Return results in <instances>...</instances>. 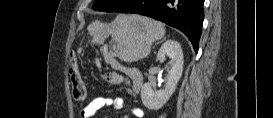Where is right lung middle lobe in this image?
I'll return each instance as SVG.
<instances>
[{
	"instance_id": "1",
	"label": "right lung middle lobe",
	"mask_w": 273,
	"mask_h": 118,
	"mask_svg": "<svg viewBox=\"0 0 273 118\" xmlns=\"http://www.w3.org/2000/svg\"><path fill=\"white\" fill-rule=\"evenodd\" d=\"M130 0H95L93 9L104 12H116Z\"/></svg>"
}]
</instances>
